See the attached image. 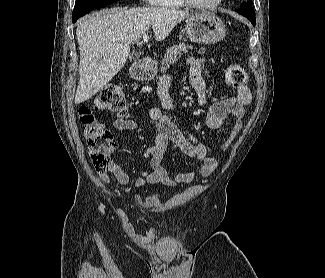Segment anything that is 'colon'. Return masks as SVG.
Here are the masks:
<instances>
[{
  "mask_svg": "<svg viewBox=\"0 0 325 278\" xmlns=\"http://www.w3.org/2000/svg\"><path fill=\"white\" fill-rule=\"evenodd\" d=\"M226 76L235 88L247 81L246 71L238 64L230 65ZM95 111H108L124 119L127 116L126 97L121 88L116 85L105 87L90 105H82L78 110L92 164L97 171L105 172L110 167L116 143L111 132L96 118Z\"/></svg>",
  "mask_w": 325,
  "mask_h": 278,
  "instance_id": "1",
  "label": "colon"
}]
</instances>
